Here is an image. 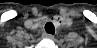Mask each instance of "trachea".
<instances>
[{"label": "trachea", "instance_id": "3493384b", "mask_svg": "<svg viewBox=\"0 0 97 48\" xmlns=\"http://www.w3.org/2000/svg\"><path fill=\"white\" fill-rule=\"evenodd\" d=\"M45 31L49 34H54L55 33V27L51 22H48L45 25Z\"/></svg>", "mask_w": 97, "mask_h": 48}]
</instances>
